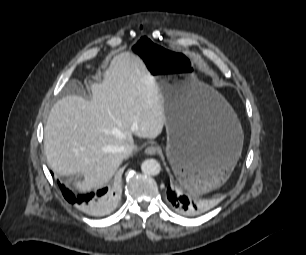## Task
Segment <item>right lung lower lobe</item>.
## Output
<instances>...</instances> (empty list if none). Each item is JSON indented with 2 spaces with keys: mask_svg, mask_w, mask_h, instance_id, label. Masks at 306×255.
Instances as JSON below:
<instances>
[{
  "mask_svg": "<svg viewBox=\"0 0 306 255\" xmlns=\"http://www.w3.org/2000/svg\"><path fill=\"white\" fill-rule=\"evenodd\" d=\"M64 198L81 211L94 216L108 212L117 200L114 189L103 188L96 193L73 194L64 185L58 182Z\"/></svg>",
  "mask_w": 306,
  "mask_h": 255,
  "instance_id": "1",
  "label": "right lung lower lobe"
}]
</instances>
